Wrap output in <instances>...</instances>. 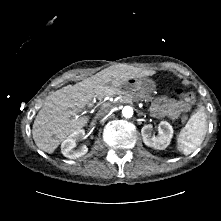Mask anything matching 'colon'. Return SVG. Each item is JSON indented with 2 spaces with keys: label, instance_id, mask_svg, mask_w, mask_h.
<instances>
[{
  "label": "colon",
  "instance_id": "colon-1",
  "mask_svg": "<svg viewBox=\"0 0 221 221\" xmlns=\"http://www.w3.org/2000/svg\"><path fill=\"white\" fill-rule=\"evenodd\" d=\"M175 93L182 97V101L189 107L194 103V95L192 93L184 94L181 89H177Z\"/></svg>",
  "mask_w": 221,
  "mask_h": 221
}]
</instances>
